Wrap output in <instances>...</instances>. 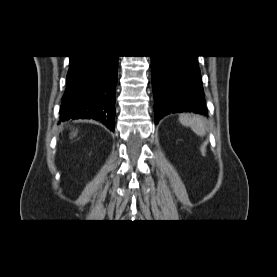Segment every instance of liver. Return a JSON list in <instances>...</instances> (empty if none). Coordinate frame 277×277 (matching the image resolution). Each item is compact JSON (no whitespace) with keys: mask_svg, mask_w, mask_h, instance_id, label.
I'll use <instances>...</instances> for the list:
<instances>
[{"mask_svg":"<svg viewBox=\"0 0 277 277\" xmlns=\"http://www.w3.org/2000/svg\"><path fill=\"white\" fill-rule=\"evenodd\" d=\"M76 135V133H73V136H75Z\"/></svg>","mask_w":277,"mask_h":277,"instance_id":"1","label":"liver"}]
</instances>
